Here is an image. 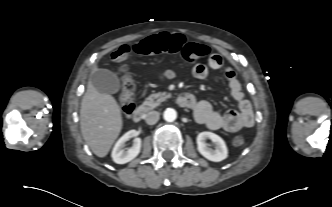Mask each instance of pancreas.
Masks as SVG:
<instances>
[{
  "label": "pancreas",
  "instance_id": "obj_1",
  "mask_svg": "<svg viewBox=\"0 0 332 207\" xmlns=\"http://www.w3.org/2000/svg\"><path fill=\"white\" fill-rule=\"evenodd\" d=\"M171 94L166 92H158L151 94L148 98H146L143 102V106H146L149 110L156 108L161 104V102L170 98Z\"/></svg>",
  "mask_w": 332,
  "mask_h": 207
}]
</instances>
